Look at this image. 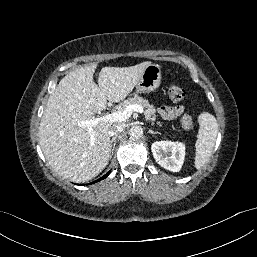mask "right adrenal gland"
I'll use <instances>...</instances> for the list:
<instances>
[{"instance_id": "2a0ac1e0", "label": "right adrenal gland", "mask_w": 257, "mask_h": 257, "mask_svg": "<svg viewBox=\"0 0 257 257\" xmlns=\"http://www.w3.org/2000/svg\"><path fill=\"white\" fill-rule=\"evenodd\" d=\"M117 137H118V136H114V137L111 139V141H110V143H111V147H112V152H111L110 158H111V157H112V155H113V151H114V149H115V145H116V139H117Z\"/></svg>"}]
</instances>
